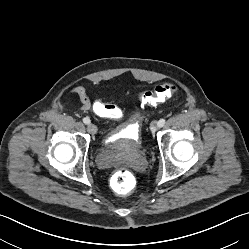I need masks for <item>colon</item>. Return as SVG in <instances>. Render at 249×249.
Returning a JSON list of instances; mask_svg holds the SVG:
<instances>
[{"label": "colon", "instance_id": "5ec220e1", "mask_svg": "<svg viewBox=\"0 0 249 249\" xmlns=\"http://www.w3.org/2000/svg\"><path fill=\"white\" fill-rule=\"evenodd\" d=\"M178 91L179 88L176 84L170 82L163 83L157 85L152 90L140 93L139 99L144 105L154 106L170 98ZM110 183L115 193L126 195L132 191L135 177L128 168H120L112 175Z\"/></svg>", "mask_w": 249, "mask_h": 249}]
</instances>
